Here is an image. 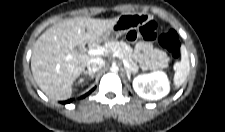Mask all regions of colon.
Listing matches in <instances>:
<instances>
[{
    "mask_svg": "<svg viewBox=\"0 0 225 132\" xmlns=\"http://www.w3.org/2000/svg\"><path fill=\"white\" fill-rule=\"evenodd\" d=\"M157 25L153 21H148L139 27L130 30L126 34V38L128 40H136V39H144L147 41H151L157 38ZM159 44L165 48L170 55L177 59L180 56V40L178 34L173 31L169 30L167 32L162 33L158 37Z\"/></svg>",
    "mask_w": 225,
    "mask_h": 132,
    "instance_id": "colon-1",
    "label": "colon"
}]
</instances>
